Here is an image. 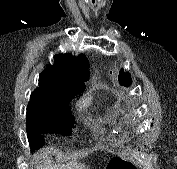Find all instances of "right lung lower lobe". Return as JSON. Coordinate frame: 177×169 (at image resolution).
Instances as JSON below:
<instances>
[{
	"instance_id": "1",
	"label": "right lung lower lobe",
	"mask_w": 177,
	"mask_h": 169,
	"mask_svg": "<svg viewBox=\"0 0 177 169\" xmlns=\"http://www.w3.org/2000/svg\"><path fill=\"white\" fill-rule=\"evenodd\" d=\"M28 140H29V144H30L31 148H36L40 144L44 143L43 135L42 136L28 135Z\"/></svg>"
}]
</instances>
